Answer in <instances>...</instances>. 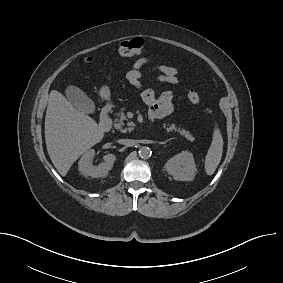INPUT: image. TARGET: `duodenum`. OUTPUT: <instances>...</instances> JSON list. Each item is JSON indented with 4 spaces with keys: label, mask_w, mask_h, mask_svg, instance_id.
I'll use <instances>...</instances> for the list:
<instances>
[{
    "label": "duodenum",
    "mask_w": 283,
    "mask_h": 283,
    "mask_svg": "<svg viewBox=\"0 0 283 283\" xmlns=\"http://www.w3.org/2000/svg\"><path fill=\"white\" fill-rule=\"evenodd\" d=\"M112 127V119H111V109L110 107H105L100 115L99 120V128L103 132H107Z\"/></svg>",
    "instance_id": "duodenum-1"
}]
</instances>
